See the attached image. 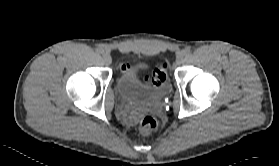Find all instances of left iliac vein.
I'll return each instance as SVG.
<instances>
[{"label": "left iliac vein", "mask_w": 279, "mask_h": 166, "mask_svg": "<svg viewBox=\"0 0 279 166\" xmlns=\"http://www.w3.org/2000/svg\"><path fill=\"white\" fill-rule=\"evenodd\" d=\"M183 60H184V55H183V53H179V54L177 55V57H176V64H177V65H180V64L183 62Z\"/></svg>", "instance_id": "obj_1"}]
</instances>
